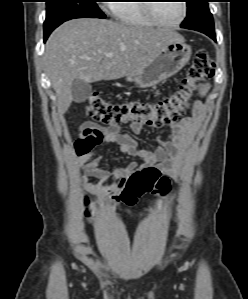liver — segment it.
I'll list each match as a JSON object with an SVG mask.
<instances>
[{"mask_svg": "<svg viewBox=\"0 0 248 299\" xmlns=\"http://www.w3.org/2000/svg\"><path fill=\"white\" fill-rule=\"evenodd\" d=\"M183 37L107 19L80 18L63 23L47 40L44 64L63 115L73 101L75 79L86 83L114 80L143 69L169 43ZM106 53H112L107 57Z\"/></svg>", "mask_w": 248, "mask_h": 299, "instance_id": "obj_1", "label": "liver"}]
</instances>
